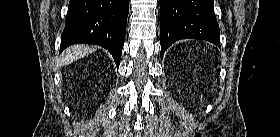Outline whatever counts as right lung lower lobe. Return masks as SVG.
<instances>
[{"label":"right lung lower lobe","mask_w":280,"mask_h":137,"mask_svg":"<svg viewBox=\"0 0 280 137\" xmlns=\"http://www.w3.org/2000/svg\"><path fill=\"white\" fill-rule=\"evenodd\" d=\"M68 9L60 50L77 43L99 45L119 67L129 0H70Z\"/></svg>","instance_id":"98d812e1"}]
</instances>
